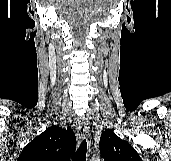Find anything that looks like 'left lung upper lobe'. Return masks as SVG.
<instances>
[{
  "mask_svg": "<svg viewBox=\"0 0 171 161\" xmlns=\"http://www.w3.org/2000/svg\"><path fill=\"white\" fill-rule=\"evenodd\" d=\"M101 157L105 161H142L136 150L120 139L112 129H106L100 137Z\"/></svg>",
  "mask_w": 171,
  "mask_h": 161,
  "instance_id": "left-lung-upper-lobe-1",
  "label": "left lung upper lobe"
}]
</instances>
